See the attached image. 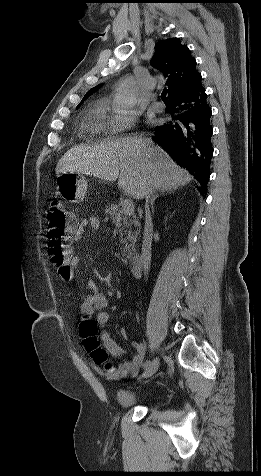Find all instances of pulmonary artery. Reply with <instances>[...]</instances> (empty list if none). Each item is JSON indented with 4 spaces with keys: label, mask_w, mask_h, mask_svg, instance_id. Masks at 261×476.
I'll return each instance as SVG.
<instances>
[{
    "label": "pulmonary artery",
    "mask_w": 261,
    "mask_h": 476,
    "mask_svg": "<svg viewBox=\"0 0 261 476\" xmlns=\"http://www.w3.org/2000/svg\"><path fill=\"white\" fill-rule=\"evenodd\" d=\"M152 106L154 109L157 111H163L164 110V105L162 102L157 101L155 98L152 100Z\"/></svg>",
    "instance_id": "obj_1"
}]
</instances>
